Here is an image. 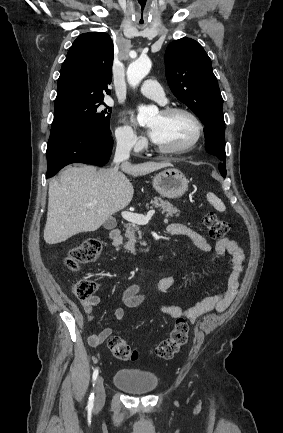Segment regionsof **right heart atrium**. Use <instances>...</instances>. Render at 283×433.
<instances>
[{
  "instance_id": "right-heart-atrium-1",
  "label": "right heart atrium",
  "mask_w": 283,
  "mask_h": 433,
  "mask_svg": "<svg viewBox=\"0 0 283 433\" xmlns=\"http://www.w3.org/2000/svg\"><path fill=\"white\" fill-rule=\"evenodd\" d=\"M116 146L125 151H140L144 146V139L139 137L131 123L125 116L119 117L113 131Z\"/></svg>"
}]
</instances>
